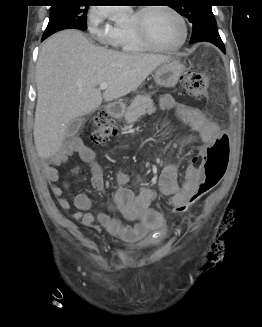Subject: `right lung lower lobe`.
<instances>
[{"label":"right lung lower lobe","mask_w":262,"mask_h":327,"mask_svg":"<svg viewBox=\"0 0 262 327\" xmlns=\"http://www.w3.org/2000/svg\"><path fill=\"white\" fill-rule=\"evenodd\" d=\"M47 38V37H46ZM45 39V37H42V40H44Z\"/></svg>","instance_id":"1"}]
</instances>
